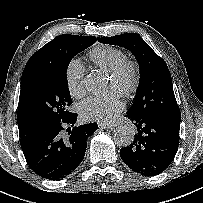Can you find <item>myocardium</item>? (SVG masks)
I'll list each match as a JSON object with an SVG mask.
<instances>
[{
  "instance_id": "obj_1",
  "label": "myocardium",
  "mask_w": 203,
  "mask_h": 203,
  "mask_svg": "<svg viewBox=\"0 0 203 203\" xmlns=\"http://www.w3.org/2000/svg\"><path fill=\"white\" fill-rule=\"evenodd\" d=\"M124 72L129 75V81L124 94L130 95L137 89L140 80V70L137 62L130 58H124L109 71V75L115 77Z\"/></svg>"
}]
</instances>
